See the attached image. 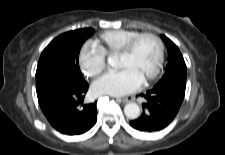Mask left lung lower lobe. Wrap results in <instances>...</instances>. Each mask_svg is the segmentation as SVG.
Returning <instances> with one entry per match:
<instances>
[{"mask_svg": "<svg viewBox=\"0 0 225 155\" xmlns=\"http://www.w3.org/2000/svg\"><path fill=\"white\" fill-rule=\"evenodd\" d=\"M185 95V87L180 85L154 86L141 94L147 103L143 104V113L130 121V125L139 131H159L168 126L177 115Z\"/></svg>", "mask_w": 225, "mask_h": 155, "instance_id": "1", "label": "left lung lower lobe"}]
</instances>
